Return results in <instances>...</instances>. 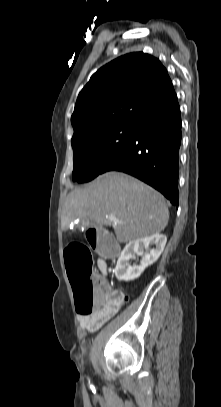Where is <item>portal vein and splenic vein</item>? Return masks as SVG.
Wrapping results in <instances>:
<instances>
[{
    "mask_svg": "<svg viewBox=\"0 0 221 407\" xmlns=\"http://www.w3.org/2000/svg\"><path fill=\"white\" fill-rule=\"evenodd\" d=\"M106 218H108V219H110V220H112V221H114V222H117V220H116V218H115L114 215H107Z\"/></svg>",
    "mask_w": 221,
    "mask_h": 407,
    "instance_id": "obj_1",
    "label": "portal vein and splenic vein"
}]
</instances>
